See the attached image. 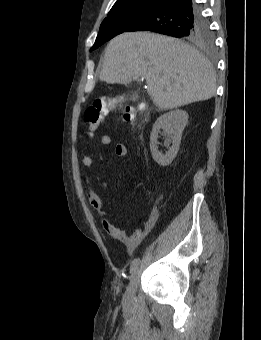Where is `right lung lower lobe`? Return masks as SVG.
Instances as JSON below:
<instances>
[{
  "label": "right lung lower lobe",
  "mask_w": 261,
  "mask_h": 340,
  "mask_svg": "<svg viewBox=\"0 0 261 340\" xmlns=\"http://www.w3.org/2000/svg\"><path fill=\"white\" fill-rule=\"evenodd\" d=\"M201 17L194 0H161L125 32L153 31L181 38L186 29L195 25Z\"/></svg>",
  "instance_id": "98d812e1"
}]
</instances>
